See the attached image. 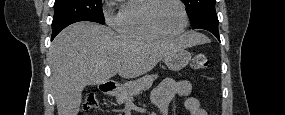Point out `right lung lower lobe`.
I'll use <instances>...</instances> for the list:
<instances>
[{
  "label": "right lung lower lobe",
  "mask_w": 285,
  "mask_h": 115,
  "mask_svg": "<svg viewBox=\"0 0 285 115\" xmlns=\"http://www.w3.org/2000/svg\"><path fill=\"white\" fill-rule=\"evenodd\" d=\"M68 25H70V24H67V25L58 27V28H56V29H52V38H51V40H53L54 37H55L62 29H64V28L67 27Z\"/></svg>",
  "instance_id": "98d812e1"
}]
</instances>
